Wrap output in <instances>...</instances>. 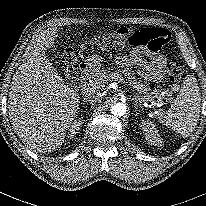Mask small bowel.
Instances as JSON below:
<instances>
[{
	"label": "small bowel",
	"mask_w": 206,
	"mask_h": 206,
	"mask_svg": "<svg viewBox=\"0 0 206 206\" xmlns=\"http://www.w3.org/2000/svg\"><path fill=\"white\" fill-rule=\"evenodd\" d=\"M118 63L140 67L139 75L152 81H159L167 67V60L163 54L152 53L143 46L134 48L129 56L119 57Z\"/></svg>",
	"instance_id": "small-bowel-1"
}]
</instances>
